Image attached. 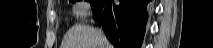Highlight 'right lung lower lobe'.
<instances>
[{
  "label": "right lung lower lobe",
  "mask_w": 213,
  "mask_h": 48,
  "mask_svg": "<svg viewBox=\"0 0 213 48\" xmlns=\"http://www.w3.org/2000/svg\"><path fill=\"white\" fill-rule=\"evenodd\" d=\"M149 0H99L93 6L98 24L115 48H140L148 18Z\"/></svg>",
  "instance_id": "98d812e1"
}]
</instances>
